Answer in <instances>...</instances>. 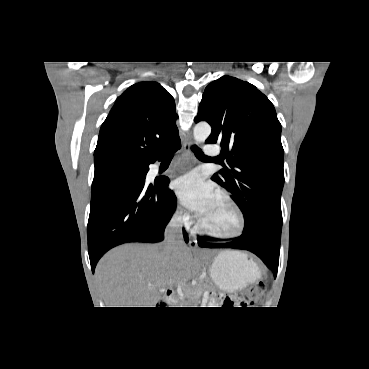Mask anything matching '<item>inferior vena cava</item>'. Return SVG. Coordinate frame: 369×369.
<instances>
[{"label":"inferior vena cava","instance_id":"602c4592","mask_svg":"<svg viewBox=\"0 0 369 369\" xmlns=\"http://www.w3.org/2000/svg\"><path fill=\"white\" fill-rule=\"evenodd\" d=\"M164 250L167 253L176 252L179 248L185 246L182 237V219L179 216L173 217L165 229Z\"/></svg>","mask_w":369,"mask_h":369}]
</instances>
